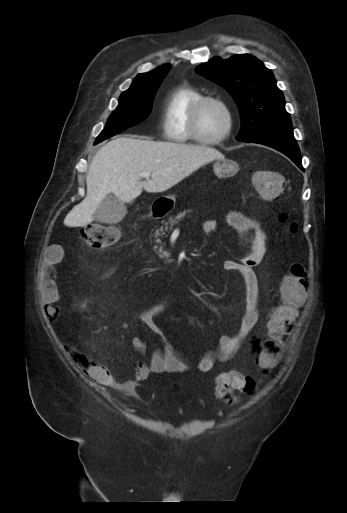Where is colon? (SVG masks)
<instances>
[{
	"instance_id": "5ec220e1",
	"label": "colon",
	"mask_w": 347,
	"mask_h": 513,
	"mask_svg": "<svg viewBox=\"0 0 347 513\" xmlns=\"http://www.w3.org/2000/svg\"><path fill=\"white\" fill-rule=\"evenodd\" d=\"M253 185L266 200H277L285 188L284 177L277 171H257L253 174ZM297 230L295 224L290 225ZM82 238L89 249L110 247L120 239V231L112 226L90 224L82 230ZM280 303L272 308L267 323L268 339L260 340L257 346V370L269 377L278 370L282 346L290 336L297 317V309L308 291V275L303 264L295 263L283 277L279 288ZM255 380L236 371L224 372L216 379L215 395L225 402H232L234 391L252 393Z\"/></svg>"
}]
</instances>
